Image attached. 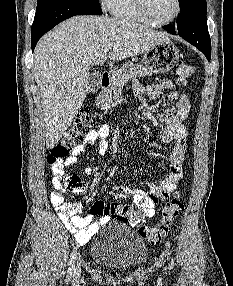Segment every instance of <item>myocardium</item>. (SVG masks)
I'll return each instance as SVG.
<instances>
[{"instance_id":"f54148a6","label":"myocardium","mask_w":233,"mask_h":286,"mask_svg":"<svg viewBox=\"0 0 233 286\" xmlns=\"http://www.w3.org/2000/svg\"><path fill=\"white\" fill-rule=\"evenodd\" d=\"M136 2V5L140 11V13L143 15V17L152 25H155V26H163V25H167V24H170L172 23L173 21H175L180 12H181V2L180 0H175L176 2V11L175 13L173 14L172 17H170L169 19L167 20H164V21H157V20H154L149 12H148V8H147V1L146 0H135Z\"/></svg>"}]
</instances>
